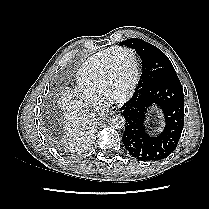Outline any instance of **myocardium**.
<instances>
[{
	"label": "myocardium",
	"mask_w": 209,
	"mask_h": 209,
	"mask_svg": "<svg viewBox=\"0 0 209 209\" xmlns=\"http://www.w3.org/2000/svg\"><path fill=\"white\" fill-rule=\"evenodd\" d=\"M121 52H128V53L132 54L135 72H134L133 81H132L131 85L129 86V88L127 89V91L122 94L117 95V94H114L111 92V79H112V72H113L114 57L118 53H121ZM139 77H140V65H139V61H138L135 51L131 48H128V47H117L110 55L109 60L106 65V68H105L104 82H103V93L111 101L124 102V101L130 99L132 97V95L134 94L135 89L138 84V81H139Z\"/></svg>",
	"instance_id": "obj_1"
}]
</instances>
